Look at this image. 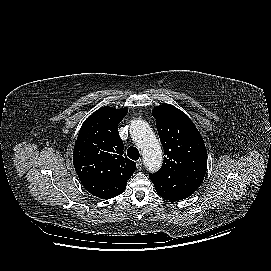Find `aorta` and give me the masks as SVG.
<instances>
[{
	"mask_svg": "<svg viewBox=\"0 0 271 271\" xmlns=\"http://www.w3.org/2000/svg\"><path fill=\"white\" fill-rule=\"evenodd\" d=\"M130 135L142 152L147 170L158 171L162 165V148L149 124L141 119L133 120Z\"/></svg>",
	"mask_w": 271,
	"mask_h": 271,
	"instance_id": "obj_1",
	"label": "aorta"
}]
</instances>
